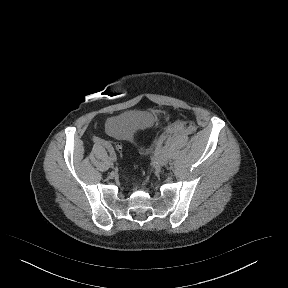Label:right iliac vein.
<instances>
[{"label":"right iliac vein","mask_w":288,"mask_h":288,"mask_svg":"<svg viewBox=\"0 0 288 288\" xmlns=\"http://www.w3.org/2000/svg\"><path fill=\"white\" fill-rule=\"evenodd\" d=\"M110 166L113 167V161H110Z\"/></svg>","instance_id":"63e3f726"}]
</instances>
